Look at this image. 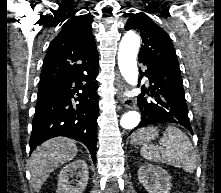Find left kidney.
<instances>
[{"label":"left kidney","instance_id":"1","mask_svg":"<svg viewBox=\"0 0 221 193\" xmlns=\"http://www.w3.org/2000/svg\"><path fill=\"white\" fill-rule=\"evenodd\" d=\"M170 178L160 166L143 165L138 170L139 182L149 193H170Z\"/></svg>","mask_w":221,"mask_h":193}]
</instances>
